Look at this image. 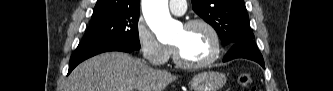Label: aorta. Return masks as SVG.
Returning <instances> with one entry per match:
<instances>
[{
	"mask_svg": "<svg viewBox=\"0 0 333 91\" xmlns=\"http://www.w3.org/2000/svg\"><path fill=\"white\" fill-rule=\"evenodd\" d=\"M144 18L160 42H169L178 24L170 16L168 0H142Z\"/></svg>",
	"mask_w": 333,
	"mask_h": 91,
	"instance_id": "obj_1",
	"label": "aorta"
}]
</instances>
